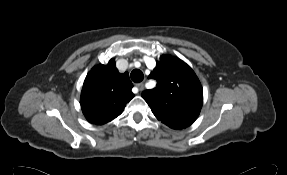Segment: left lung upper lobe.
I'll return each mask as SVG.
<instances>
[{
  "mask_svg": "<svg viewBox=\"0 0 287 175\" xmlns=\"http://www.w3.org/2000/svg\"><path fill=\"white\" fill-rule=\"evenodd\" d=\"M149 78L158 84L142 97L155 117L172 129L190 126L203 103L202 86L194 71L179 58L162 55Z\"/></svg>",
  "mask_w": 287,
  "mask_h": 175,
  "instance_id": "1",
  "label": "left lung upper lobe"
}]
</instances>
